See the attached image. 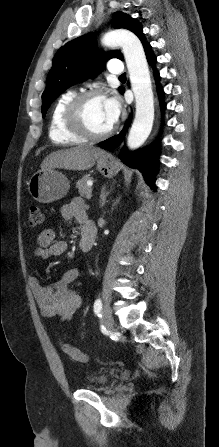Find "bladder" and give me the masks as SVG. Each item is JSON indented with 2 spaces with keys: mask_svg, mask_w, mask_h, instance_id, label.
Segmentation results:
<instances>
[{
  "mask_svg": "<svg viewBox=\"0 0 219 447\" xmlns=\"http://www.w3.org/2000/svg\"><path fill=\"white\" fill-rule=\"evenodd\" d=\"M109 379H110V375L109 374H101V375H98V376H94L92 378L93 385L91 387L92 388H100V387L104 386L105 384H107Z\"/></svg>",
  "mask_w": 219,
  "mask_h": 447,
  "instance_id": "1",
  "label": "bladder"
}]
</instances>
